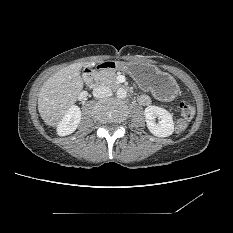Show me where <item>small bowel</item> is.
<instances>
[{"mask_svg":"<svg viewBox=\"0 0 233 233\" xmlns=\"http://www.w3.org/2000/svg\"><path fill=\"white\" fill-rule=\"evenodd\" d=\"M138 102L143 106H147L151 103V99L148 95L142 94L138 96Z\"/></svg>","mask_w":233,"mask_h":233,"instance_id":"1","label":"small bowel"}]
</instances>
